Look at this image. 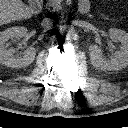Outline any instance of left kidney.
Here are the masks:
<instances>
[{
    "mask_svg": "<svg viewBox=\"0 0 128 128\" xmlns=\"http://www.w3.org/2000/svg\"><path fill=\"white\" fill-rule=\"evenodd\" d=\"M109 37L113 42L121 43L120 50L116 51L112 58L106 59L98 45H90V60L96 69L103 71L119 70L128 65V33L119 29H110Z\"/></svg>",
    "mask_w": 128,
    "mask_h": 128,
    "instance_id": "5707ae66",
    "label": "left kidney"
}]
</instances>
